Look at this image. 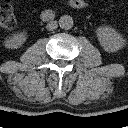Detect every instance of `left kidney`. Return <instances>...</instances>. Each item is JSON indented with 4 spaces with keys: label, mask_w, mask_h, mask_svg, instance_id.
<instances>
[{
    "label": "left kidney",
    "mask_w": 128,
    "mask_h": 128,
    "mask_svg": "<svg viewBox=\"0 0 128 128\" xmlns=\"http://www.w3.org/2000/svg\"><path fill=\"white\" fill-rule=\"evenodd\" d=\"M98 41L107 52H116L125 46L124 38L112 27H99L96 31Z\"/></svg>",
    "instance_id": "5707ae66"
}]
</instances>
